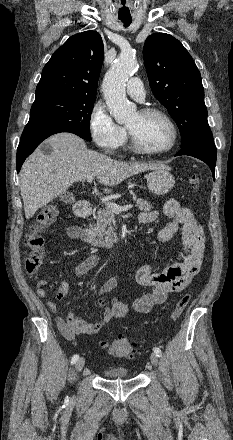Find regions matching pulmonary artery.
Returning <instances> with one entry per match:
<instances>
[{
  "label": "pulmonary artery",
  "mask_w": 233,
  "mask_h": 440,
  "mask_svg": "<svg viewBox=\"0 0 233 440\" xmlns=\"http://www.w3.org/2000/svg\"><path fill=\"white\" fill-rule=\"evenodd\" d=\"M127 93L138 101H143L145 91L141 79L137 77L131 78L126 85Z\"/></svg>",
  "instance_id": "1"
}]
</instances>
